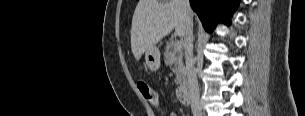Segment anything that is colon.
Masks as SVG:
<instances>
[{"mask_svg":"<svg viewBox=\"0 0 305 116\" xmlns=\"http://www.w3.org/2000/svg\"><path fill=\"white\" fill-rule=\"evenodd\" d=\"M137 88L142 98L156 112V115L158 116L166 115V109L163 106L158 93L152 88V86L146 80L143 79L138 80Z\"/></svg>","mask_w":305,"mask_h":116,"instance_id":"5ec220e1","label":"colon"}]
</instances>
